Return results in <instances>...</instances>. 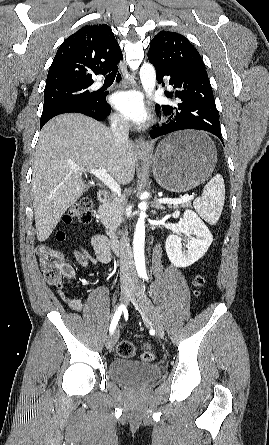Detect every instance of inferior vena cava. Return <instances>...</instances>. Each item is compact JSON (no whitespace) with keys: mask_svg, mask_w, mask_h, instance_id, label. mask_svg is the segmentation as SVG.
Masks as SVG:
<instances>
[{"mask_svg":"<svg viewBox=\"0 0 269 445\" xmlns=\"http://www.w3.org/2000/svg\"><path fill=\"white\" fill-rule=\"evenodd\" d=\"M129 127V122L125 117L119 116L112 119L111 132L118 143L128 141ZM120 279L122 281L137 280L133 253L126 229L121 232L120 238Z\"/></svg>","mask_w":269,"mask_h":445,"instance_id":"inferior-vena-cava-1","label":"inferior vena cava"}]
</instances>
